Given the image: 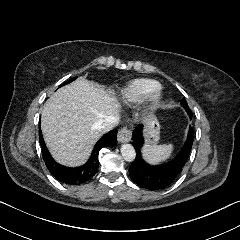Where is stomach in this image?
Listing matches in <instances>:
<instances>
[{
	"instance_id": "1",
	"label": "stomach",
	"mask_w": 240,
	"mask_h": 240,
	"mask_svg": "<svg viewBox=\"0 0 240 240\" xmlns=\"http://www.w3.org/2000/svg\"><path fill=\"white\" fill-rule=\"evenodd\" d=\"M143 135L147 145H155L160 139V124L154 115H149L143 119Z\"/></svg>"
}]
</instances>
